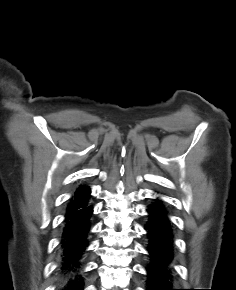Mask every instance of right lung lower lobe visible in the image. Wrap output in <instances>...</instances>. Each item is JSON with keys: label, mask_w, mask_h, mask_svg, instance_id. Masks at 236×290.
Returning a JSON list of instances; mask_svg holds the SVG:
<instances>
[{"label": "right lung lower lobe", "mask_w": 236, "mask_h": 290, "mask_svg": "<svg viewBox=\"0 0 236 290\" xmlns=\"http://www.w3.org/2000/svg\"><path fill=\"white\" fill-rule=\"evenodd\" d=\"M92 213L93 207L88 200L66 212L60 242V271L68 281L64 290H83L78 272L80 260L89 245Z\"/></svg>", "instance_id": "1"}]
</instances>
